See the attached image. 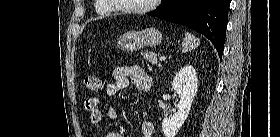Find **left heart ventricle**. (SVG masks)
Instances as JSON below:
<instances>
[{
    "instance_id": "left-heart-ventricle-1",
    "label": "left heart ventricle",
    "mask_w": 280,
    "mask_h": 137,
    "mask_svg": "<svg viewBox=\"0 0 280 137\" xmlns=\"http://www.w3.org/2000/svg\"><path fill=\"white\" fill-rule=\"evenodd\" d=\"M123 7H140L149 3V0H122Z\"/></svg>"
}]
</instances>
